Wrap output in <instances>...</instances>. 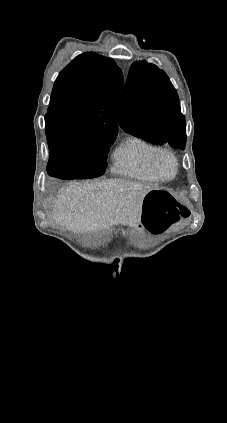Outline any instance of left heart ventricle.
Segmentation results:
<instances>
[{
    "label": "left heart ventricle",
    "mask_w": 227,
    "mask_h": 423,
    "mask_svg": "<svg viewBox=\"0 0 227 423\" xmlns=\"http://www.w3.org/2000/svg\"><path fill=\"white\" fill-rule=\"evenodd\" d=\"M157 165L163 176L170 178L174 173V164L171 157L166 153H159Z\"/></svg>",
    "instance_id": "left-heart-ventricle-1"
}]
</instances>
